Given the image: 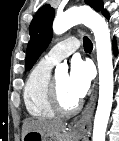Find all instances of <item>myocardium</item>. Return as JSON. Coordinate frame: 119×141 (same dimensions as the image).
I'll use <instances>...</instances> for the list:
<instances>
[{"instance_id": "f54148a6", "label": "myocardium", "mask_w": 119, "mask_h": 141, "mask_svg": "<svg viewBox=\"0 0 119 141\" xmlns=\"http://www.w3.org/2000/svg\"><path fill=\"white\" fill-rule=\"evenodd\" d=\"M47 100L49 103L50 108L55 114L61 115V116H70L78 112V110L81 107V102L78 101L74 106L72 107H65L59 98L58 90H57V83L55 77H52L50 79L48 89H47Z\"/></svg>"}]
</instances>
